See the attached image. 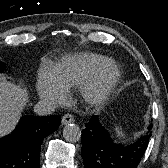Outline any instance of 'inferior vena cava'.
<instances>
[{
    "mask_svg": "<svg viewBox=\"0 0 168 168\" xmlns=\"http://www.w3.org/2000/svg\"><path fill=\"white\" fill-rule=\"evenodd\" d=\"M56 105L51 101H39L34 106V112L40 116L50 115L55 111Z\"/></svg>",
    "mask_w": 168,
    "mask_h": 168,
    "instance_id": "obj_1",
    "label": "inferior vena cava"
}]
</instances>
